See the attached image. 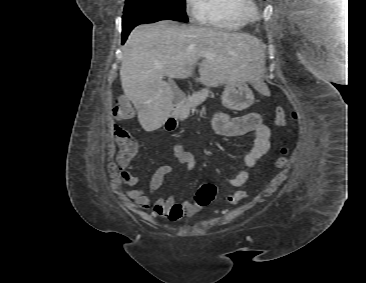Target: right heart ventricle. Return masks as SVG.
<instances>
[{"label":"right heart ventricle","mask_w":366,"mask_h":283,"mask_svg":"<svg viewBox=\"0 0 366 283\" xmlns=\"http://www.w3.org/2000/svg\"><path fill=\"white\" fill-rule=\"evenodd\" d=\"M249 5L257 9L253 0H205L200 21L221 30H238L251 21L245 14Z\"/></svg>","instance_id":"right-heart-ventricle-1"}]
</instances>
